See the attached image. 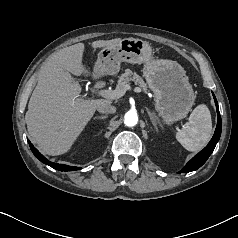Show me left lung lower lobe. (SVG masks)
Instances as JSON below:
<instances>
[{
  "mask_svg": "<svg viewBox=\"0 0 238 238\" xmlns=\"http://www.w3.org/2000/svg\"><path fill=\"white\" fill-rule=\"evenodd\" d=\"M213 96H214V94H213ZM214 100H215L217 114H218V121H217V127L215 130V134L212 137L209 144L202 151H200L196 156H194L179 173H181V172L188 173V172L194 171V170L198 169L199 167H201L206 162V160L209 158V156L213 152L217 142L219 141V138L221 135V129H222V122H221L220 112H219V108H218V103H217L215 96H214Z\"/></svg>",
  "mask_w": 238,
  "mask_h": 238,
  "instance_id": "obj_1",
  "label": "left lung lower lobe"
}]
</instances>
